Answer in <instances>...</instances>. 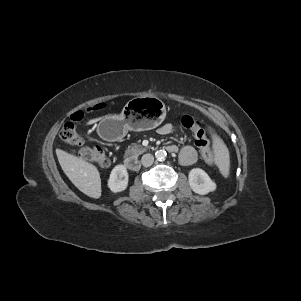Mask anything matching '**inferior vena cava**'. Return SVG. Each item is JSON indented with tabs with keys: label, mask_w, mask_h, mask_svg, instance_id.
Masks as SVG:
<instances>
[{
	"label": "inferior vena cava",
	"mask_w": 301,
	"mask_h": 301,
	"mask_svg": "<svg viewBox=\"0 0 301 301\" xmlns=\"http://www.w3.org/2000/svg\"><path fill=\"white\" fill-rule=\"evenodd\" d=\"M154 162V157L152 154H144L141 158V163L143 166L148 167L151 166Z\"/></svg>",
	"instance_id": "602c4592"
}]
</instances>
